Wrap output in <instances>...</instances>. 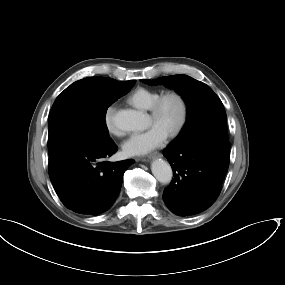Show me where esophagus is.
I'll return each mask as SVG.
<instances>
[{"mask_svg": "<svg viewBox=\"0 0 285 285\" xmlns=\"http://www.w3.org/2000/svg\"><path fill=\"white\" fill-rule=\"evenodd\" d=\"M162 157V154L159 152H154L150 155L147 156V158L144 157H137L136 160L137 161H145V160H150V159H154V158H160Z\"/></svg>", "mask_w": 285, "mask_h": 285, "instance_id": "1", "label": "esophagus"}]
</instances>
